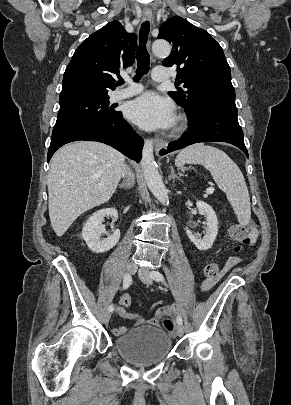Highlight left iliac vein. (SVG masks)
<instances>
[{"instance_id":"4c4485c4","label":"left iliac vein","mask_w":291,"mask_h":405,"mask_svg":"<svg viewBox=\"0 0 291 405\" xmlns=\"http://www.w3.org/2000/svg\"><path fill=\"white\" fill-rule=\"evenodd\" d=\"M138 275L139 278L145 283V284H152V277L150 276V271L147 268H140L138 270ZM184 333V327L182 325H178L177 327V335L181 337Z\"/></svg>"}]
</instances>
